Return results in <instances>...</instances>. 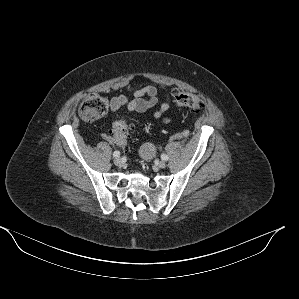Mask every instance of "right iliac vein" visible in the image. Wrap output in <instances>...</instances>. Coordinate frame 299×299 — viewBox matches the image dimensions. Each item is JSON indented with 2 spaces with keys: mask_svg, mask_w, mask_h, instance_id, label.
Masks as SVG:
<instances>
[{
  "mask_svg": "<svg viewBox=\"0 0 299 299\" xmlns=\"http://www.w3.org/2000/svg\"><path fill=\"white\" fill-rule=\"evenodd\" d=\"M122 163H123V161H122V159L120 157H117V158L114 159V164L116 166H121Z\"/></svg>",
  "mask_w": 299,
  "mask_h": 299,
  "instance_id": "right-iliac-vein-1",
  "label": "right iliac vein"
}]
</instances>
